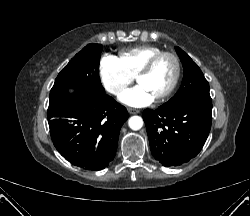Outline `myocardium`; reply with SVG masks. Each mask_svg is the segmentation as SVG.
Returning <instances> with one entry per match:
<instances>
[{
    "mask_svg": "<svg viewBox=\"0 0 250 216\" xmlns=\"http://www.w3.org/2000/svg\"><path fill=\"white\" fill-rule=\"evenodd\" d=\"M163 57H170L173 60L175 64V73L169 87L163 93L154 97L155 101H161L166 99L175 90L181 75V63L179 57L173 52L161 51L160 53L154 55L136 75V80L138 81L141 77L150 73L156 63Z\"/></svg>",
    "mask_w": 250,
    "mask_h": 216,
    "instance_id": "1",
    "label": "myocardium"
}]
</instances>
